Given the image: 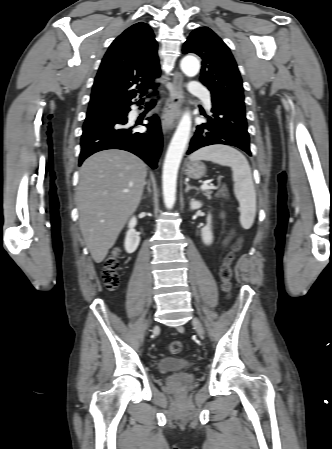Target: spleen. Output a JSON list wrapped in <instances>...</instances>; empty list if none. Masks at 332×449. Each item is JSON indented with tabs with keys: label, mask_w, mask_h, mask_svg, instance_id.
Segmentation results:
<instances>
[{
	"label": "spleen",
	"mask_w": 332,
	"mask_h": 449,
	"mask_svg": "<svg viewBox=\"0 0 332 449\" xmlns=\"http://www.w3.org/2000/svg\"><path fill=\"white\" fill-rule=\"evenodd\" d=\"M190 160L211 161L231 168L234 194L240 204V223L244 229L251 228L256 216V193L251 169L244 155L226 145H213L197 150Z\"/></svg>",
	"instance_id": "1"
}]
</instances>
